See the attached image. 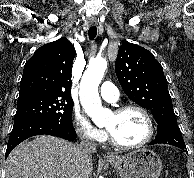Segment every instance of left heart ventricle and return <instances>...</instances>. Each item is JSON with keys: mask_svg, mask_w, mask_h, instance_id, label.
<instances>
[{"mask_svg": "<svg viewBox=\"0 0 194 178\" xmlns=\"http://www.w3.org/2000/svg\"><path fill=\"white\" fill-rule=\"evenodd\" d=\"M115 138L124 144H136L142 141L148 132L144 116L135 110L122 114L112 113L105 124Z\"/></svg>", "mask_w": 194, "mask_h": 178, "instance_id": "left-heart-ventricle-1", "label": "left heart ventricle"}]
</instances>
